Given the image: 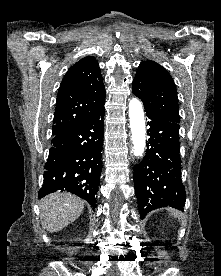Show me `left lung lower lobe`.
Segmentation results:
<instances>
[{
  "label": "left lung lower lobe",
  "instance_id": "0a47b994",
  "mask_svg": "<svg viewBox=\"0 0 221 276\" xmlns=\"http://www.w3.org/2000/svg\"><path fill=\"white\" fill-rule=\"evenodd\" d=\"M147 150L134 167L135 195L141 219L152 210L174 207L182 210L186 193L181 180L179 124L147 114Z\"/></svg>",
  "mask_w": 221,
  "mask_h": 276
}]
</instances>
